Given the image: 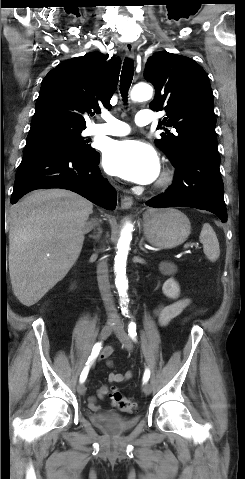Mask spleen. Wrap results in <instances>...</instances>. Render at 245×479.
<instances>
[{
	"label": "spleen",
	"mask_w": 245,
	"mask_h": 479,
	"mask_svg": "<svg viewBox=\"0 0 245 479\" xmlns=\"http://www.w3.org/2000/svg\"><path fill=\"white\" fill-rule=\"evenodd\" d=\"M199 239L203 244V251L207 259L212 262L216 261L220 256L219 242L209 223L203 224Z\"/></svg>",
	"instance_id": "obj_1"
}]
</instances>
